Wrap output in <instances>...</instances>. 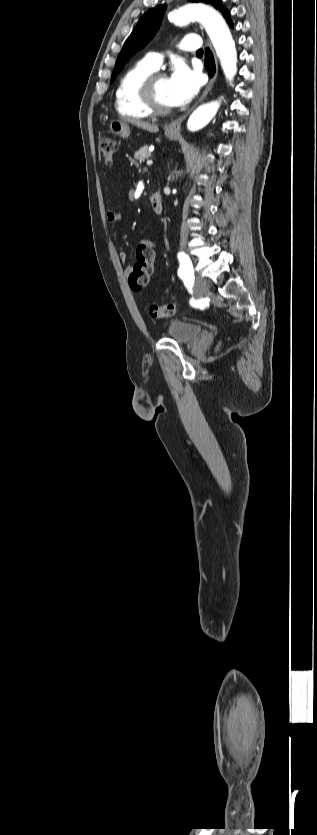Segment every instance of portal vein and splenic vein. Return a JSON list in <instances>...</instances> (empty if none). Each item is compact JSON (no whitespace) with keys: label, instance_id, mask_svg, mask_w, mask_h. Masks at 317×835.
I'll return each mask as SVG.
<instances>
[{"label":"portal vein and splenic vein","instance_id":"portal-vein-and-splenic-vein-1","mask_svg":"<svg viewBox=\"0 0 317 835\" xmlns=\"http://www.w3.org/2000/svg\"><path fill=\"white\" fill-rule=\"evenodd\" d=\"M152 149H154V148H152ZM146 164H147V166H151L153 164V162L151 160H149V161H147Z\"/></svg>","mask_w":317,"mask_h":835}]
</instances>
